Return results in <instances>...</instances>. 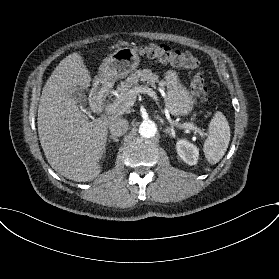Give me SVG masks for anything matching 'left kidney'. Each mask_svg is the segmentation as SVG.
Returning a JSON list of instances; mask_svg holds the SVG:
<instances>
[{
  "label": "left kidney",
  "mask_w": 279,
  "mask_h": 279,
  "mask_svg": "<svg viewBox=\"0 0 279 279\" xmlns=\"http://www.w3.org/2000/svg\"><path fill=\"white\" fill-rule=\"evenodd\" d=\"M180 158L188 165L197 163L198 149L186 140H180L176 145Z\"/></svg>",
  "instance_id": "1"
}]
</instances>
